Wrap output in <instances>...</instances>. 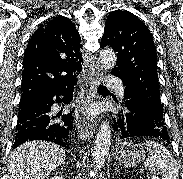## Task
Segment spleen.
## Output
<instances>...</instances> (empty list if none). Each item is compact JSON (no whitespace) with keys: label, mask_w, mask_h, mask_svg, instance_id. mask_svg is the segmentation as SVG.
Listing matches in <instances>:
<instances>
[{"label":"spleen","mask_w":183,"mask_h":179,"mask_svg":"<svg viewBox=\"0 0 183 179\" xmlns=\"http://www.w3.org/2000/svg\"><path fill=\"white\" fill-rule=\"evenodd\" d=\"M145 146L148 151L147 159L144 162L147 170H160L162 179H179L177 161L169 150L152 141H146Z\"/></svg>","instance_id":"3e777b00"}]
</instances>
